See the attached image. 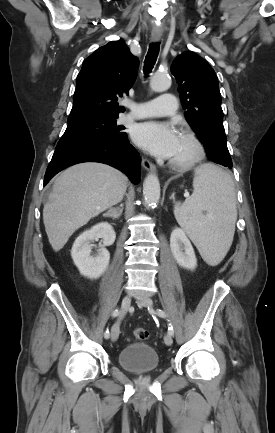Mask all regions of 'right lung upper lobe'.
<instances>
[{"label":"right lung upper lobe","instance_id":"cb5924a9","mask_svg":"<svg viewBox=\"0 0 275 433\" xmlns=\"http://www.w3.org/2000/svg\"><path fill=\"white\" fill-rule=\"evenodd\" d=\"M139 66L122 41H112L85 59L77 76L74 104L69 118L85 115L118 116L124 109L116 102L128 95Z\"/></svg>","mask_w":275,"mask_h":433}]
</instances>
